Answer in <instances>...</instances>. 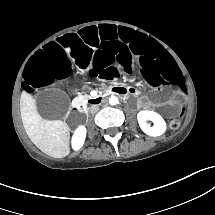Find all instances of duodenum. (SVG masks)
<instances>
[{
    "label": "duodenum",
    "instance_id": "410a0bca",
    "mask_svg": "<svg viewBox=\"0 0 215 215\" xmlns=\"http://www.w3.org/2000/svg\"><path fill=\"white\" fill-rule=\"evenodd\" d=\"M131 92L128 88L125 87H113L108 89L106 92L102 93L101 95L93 98V99H89V103L97 105L102 103L106 98L112 96V95H116V96H120L123 97L124 99H127L130 96ZM82 101L80 100H76L74 105H73V111L77 112L79 111L81 105H82Z\"/></svg>",
    "mask_w": 215,
    "mask_h": 215
}]
</instances>
